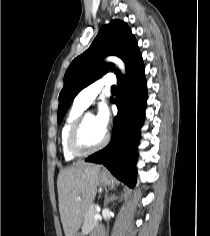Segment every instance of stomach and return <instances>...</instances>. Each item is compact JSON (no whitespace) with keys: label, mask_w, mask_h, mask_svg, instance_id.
<instances>
[{"label":"stomach","mask_w":210,"mask_h":236,"mask_svg":"<svg viewBox=\"0 0 210 236\" xmlns=\"http://www.w3.org/2000/svg\"><path fill=\"white\" fill-rule=\"evenodd\" d=\"M98 183L104 186L110 185L112 183V177L105 173H100L98 176ZM79 236V235H75Z\"/></svg>","instance_id":"0dacf381"}]
</instances>
